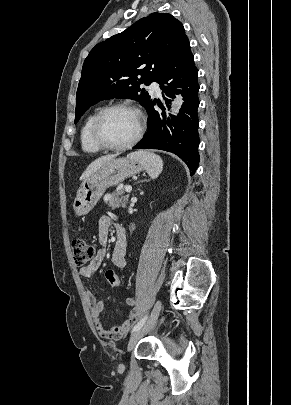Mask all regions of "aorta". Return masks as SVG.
<instances>
[{"instance_id": "762f6f07", "label": "aorta", "mask_w": 291, "mask_h": 405, "mask_svg": "<svg viewBox=\"0 0 291 405\" xmlns=\"http://www.w3.org/2000/svg\"><path fill=\"white\" fill-rule=\"evenodd\" d=\"M183 103L182 97L177 95L173 101L172 114H177Z\"/></svg>"}]
</instances>
